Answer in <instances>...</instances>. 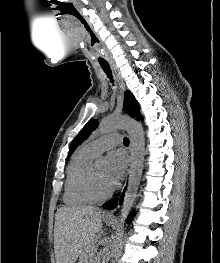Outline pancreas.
<instances>
[{"label": "pancreas", "mask_w": 220, "mask_h": 263, "mask_svg": "<svg viewBox=\"0 0 220 263\" xmlns=\"http://www.w3.org/2000/svg\"><path fill=\"white\" fill-rule=\"evenodd\" d=\"M94 248H95V245H92L91 249L89 250V253H93Z\"/></svg>", "instance_id": "1"}]
</instances>
